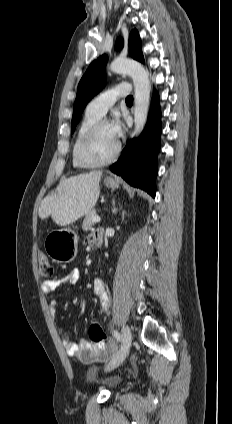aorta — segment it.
Listing matches in <instances>:
<instances>
[{
  "label": "aorta",
  "mask_w": 232,
  "mask_h": 424,
  "mask_svg": "<svg viewBox=\"0 0 232 424\" xmlns=\"http://www.w3.org/2000/svg\"><path fill=\"white\" fill-rule=\"evenodd\" d=\"M110 70L117 74L129 75L134 84V124L135 135H139L144 129L150 100V81L146 70L138 62L116 58L110 64Z\"/></svg>",
  "instance_id": "1"
}]
</instances>
